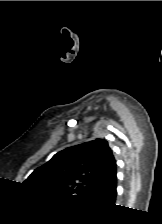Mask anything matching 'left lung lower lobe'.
<instances>
[{
	"label": "left lung lower lobe",
	"mask_w": 162,
	"mask_h": 224,
	"mask_svg": "<svg viewBox=\"0 0 162 224\" xmlns=\"http://www.w3.org/2000/svg\"><path fill=\"white\" fill-rule=\"evenodd\" d=\"M116 171L112 173L102 186L88 195L87 199L94 202L113 205L116 199Z\"/></svg>",
	"instance_id": "1"
}]
</instances>
